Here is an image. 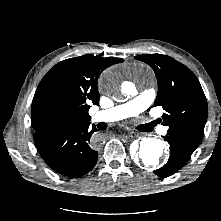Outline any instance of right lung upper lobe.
Segmentation results:
<instances>
[{"mask_svg": "<svg viewBox=\"0 0 221 221\" xmlns=\"http://www.w3.org/2000/svg\"><path fill=\"white\" fill-rule=\"evenodd\" d=\"M123 59L83 55L55 65L41 80L32 101L35 132L66 124L90 122L91 104L98 105L101 72Z\"/></svg>", "mask_w": 221, "mask_h": 221, "instance_id": "1", "label": "right lung upper lobe"}]
</instances>
